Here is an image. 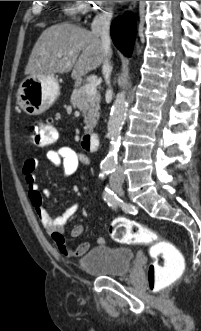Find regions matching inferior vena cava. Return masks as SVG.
<instances>
[{
  "label": "inferior vena cava",
  "mask_w": 201,
  "mask_h": 331,
  "mask_svg": "<svg viewBox=\"0 0 201 331\" xmlns=\"http://www.w3.org/2000/svg\"><path fill=\"white\" fill-rule=\"evenodd\" d=\"M112 17V13L110 11L102 12L98 15L95 16L91 28H92V33L99 36L102 42V47L105 51V54L107 56L103 67H102V72L105 78L106 83L109 85L110 84V74L112 71V66L109 64L108 57L111 52V39H110V34H109V28H110V20ZM112 90L109 89L107 93H111ZM115 176L119 177L120 180H123V174L122 170L120 167H117Z\"/></svg>",
  "instance_id": "602c4592"
}]
</instances>
